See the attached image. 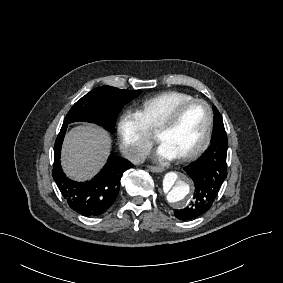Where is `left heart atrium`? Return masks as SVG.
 <instances>
[{
  "label": "left heart atrium",
  "mask_w": 283,
  "mask_h": 283,
  "mask_svg": "<svg viewBox=\"0 0 283 283\" xmlns=\"http://www.w3.org/2000/svg\"><path fill=\"white\" fill-rule=\"evenodd\" d=\"M157 156L162 161H169L177 158L176 155L171 150H169L165 145H161L159 147L157 151Z\"/></svg>",
  "instance_id": "1"
}]
</instances>
